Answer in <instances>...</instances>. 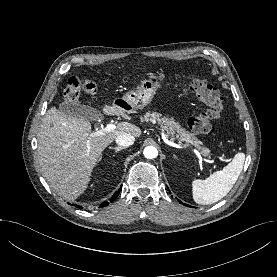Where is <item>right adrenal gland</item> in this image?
<instances>
[{
	"instance_id": "1",
	"label": "right adrenal gland",
	"mask_w": 277,
	"mask_h": 277,
	"mask_svg": "<svg viewBox=\"0 0 277 277\" xmlns=\"http://www.w3.org/2000/svg\"><path fill=\"white\" fill-rule=\"evenodd\" d=\"M109 149H114V150H115V153H117V152H119L120 150L125 149V147H120V146H118V147H110ZM112 156H114V154H113ZM110 157H111V156H110Z\"/></svg>"
}]
</instances>
